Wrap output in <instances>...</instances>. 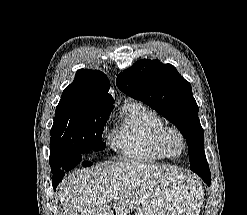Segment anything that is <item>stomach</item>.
<instances>
[{
  "instance_id": "obj_1",
  "label": "stomach",
  "mask_w": 247,
  "mask_h": 215,
  "mask_svg": "<svg viewBox=\"0 0 247 215\" xmlns=\"http://www.w3.org/2000/svg\"><path fill=\"white\" fill-rule=\"evenodd\" d=\"M203 199V188L196 179L176 176L161 184L136 215H198Z\"/></svg>"
}]
</instances>
